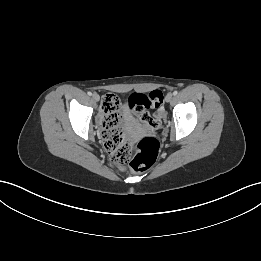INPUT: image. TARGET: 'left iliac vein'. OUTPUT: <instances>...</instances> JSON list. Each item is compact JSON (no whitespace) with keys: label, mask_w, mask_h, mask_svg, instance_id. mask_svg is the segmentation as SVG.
<instances>
[{"label":"left iliac vein","mask_w":261,"mask_h":261,"mask_svg":"<svg viewBox=\"0 0 261 261\" xmlns=\"http://www.w3.org/2000/svg\"><path fill=\"white\" fill-rule=\"evenodd\" d=\"M173 99V95L171 93H168L165 97V101L166 102H171Z\"/></svg>","instance_id":"4c4485c4"}]
</instances>
